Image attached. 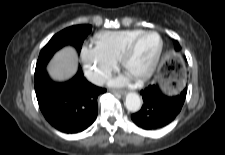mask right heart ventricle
Here are the masks:
<instances>
[{
	"instance_id": "e07e8e85",
	"label": "right heart ventricle",
	"mask_w": 225,
	"mask_h": 155,
	"mask_svg": "<svg viewBox=\"0 0 225 155\" xmlns=\"http://www.w3.org/2000/svg\"><path fill=\"white\" fill-rule=\"evenodd\" d=\"M142 31L144 30L126 29L99 32L94 37L95 48L104 56L118 61L126 45Z\"/></svg>"
}]
</instances>
